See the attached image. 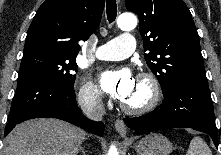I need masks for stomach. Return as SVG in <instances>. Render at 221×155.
Returning a JSON list of instances; mask_svg holds the SVG:
<instances>
[{
    "mask_svg": "<svg viewBox=\"0 0 221 155\" xmlns=\"http://www.w3.org/2000/svg\"><path fill=\"white\" fill-rule=\"evenodd\" d=\"M138 155H170L172 143L163 135L152 133L134 144Z\"/></svg>",
    "mask_w": 221,
    "mask_h": 155,
    "instance_id": "stomach-1",
    "label": "stomach"
}]
</instances>
